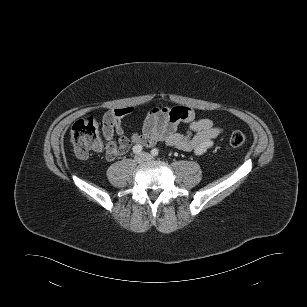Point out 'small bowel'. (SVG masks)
Instances as JSON below:
<instances>
[{"label": "small bowel", "instance_id": "obj_1", "mask_svg": "<svg viewBox=\"0 0 307 307\" xmlns=\"http://www.w3.org/2000/svg\"><path fill=\"white\" fill-rule=\"evenodd\" d=\"M133 111L132 107L118 108L107 112L103 118V136L105 155L114 160L126 154L132 144L152 147L164 142L169 147L202 155L209 150L214 139L222 129L210 119H197L194 110L184 106L153 108L145 116L141 132H135L130 138L124 135L121 119ZM188 124L185 134L179 133L178 126ZM117 136V141L113 140Z\"/></svg>", "mask_w": 307, "mask_h": 307}]
</instances>
